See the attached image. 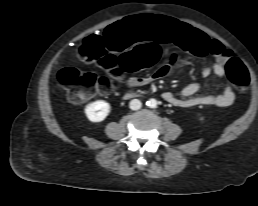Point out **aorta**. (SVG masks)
Wrapping results in <instances>:
<instances>
[{"mask_svg": "<svg viewBox=\"0 0 258 206\" xmlns=\"http://www.w3.org/2000/svg\"><path fill=\"white\" fill-rule=\"evenodd\" d=\"M147 105L151 108H155L157 106V101L155 99H150L148 102H147Z\"/></svg>", "mask_w": 258, "mask_h": 206, "instance_id": "1", "label": "aorta"}]
</instances>
